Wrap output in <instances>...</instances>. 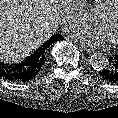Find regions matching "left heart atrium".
Here are the masks:
<instances>
[{
    "label": "left heart atrium",
    "mask_w": 118,
    "mask_h": 118,
    "mask_svg": "<svg viewBox=\"0 0 118 118\" xmlns=\"http://www.w3.org/2000/svg\"><path fill=\"white\" fill-rule=\"evenodd\" d=\"M74 37L91 46H104L109 43L106 33L100 27H80L74 31Z\"/></svg>",
    "instance_id": "left-heart-atrium-1"
}]
</instances>
